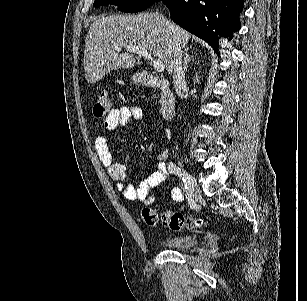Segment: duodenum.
Instances as JSON below:
<instances>
[{
	"label": "duodenum",
	"mask_w": 307,
	"mask_h": 301,
	"mask_svg": "<svg viewBox=\"0 0 307 301\" xmlns=\"http://www.w3.org/2000/svg\"><path fill=\"white\" fill-rule=\"evenodd\" d=\"M143 83L158 88L161 92L160 114L163 119L172 120L175 115V96L167 80L157 78L149 73L142 74Z\"/></svg>",
	"instance_id": "obj_1"
}]
</instances>
